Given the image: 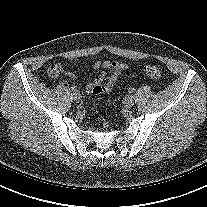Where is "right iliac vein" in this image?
<instances>
[{
	"label": "right iliac vein",
	"mask_w": 207,
	"mask_h": 207,
	"mask_svg": "<svg viewBox=\"0 0 207 207\" xmlns=\"http://www.w3.org/2000/svg\"><path fill=\"white\" fill-rule=\"evenodd\" d=\"M73 99H74L75 102H79L81 100L80 94L78 92H75L73 94Z\"/></svg>",
	"instance_id": "1"
}]
</instances>
